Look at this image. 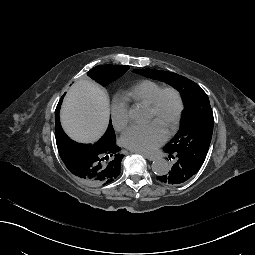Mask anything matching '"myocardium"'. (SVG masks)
<instances>
[{
	"mask_svg": "<svg viewBox=\"0 0 255 255\" xmlns=\"http://www.w3.org/2000/svg\"><path fill=\"white\" fill-rule=\"evenodd\" d=\"M166 92L173 93L176 99V112L173 119V126L171 131L166 135V138L169 139L177 133L179 128L180 119L183 111V99L181 93L173 86H163L155 93L151 102L148 104V107L154 113L153 121H155L157 118L161 98Z\"/></svg>",
	"mask_w": 255,
	"mask_h": 255,
	"instance_id": "myocardium-1",
	"label": "myocardium"
}]
</instances>
